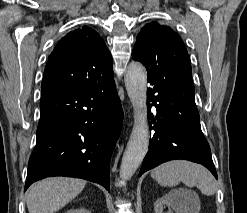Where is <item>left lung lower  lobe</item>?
<instances>
[{"mask_svg": "<svg viewBox=\"0 0 247 213\" xmlns=\"http://www.w3.org/2000/svg\"><path fill=\"white\" fill-rule=\"evenodd\" d=\"M148 122L152 130L149 150L139 176L161 163L184 159L204 165L217 179L209 144L195 104L192 76L181 69L148 72ZM156 108V114L151 112Z\"/></svg>", "mask_w": 247, "mask_h": 213, "instance_id": "obj_1", "label": "left lung lower lobe"}]
</instances>
